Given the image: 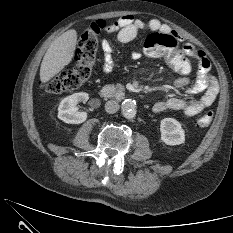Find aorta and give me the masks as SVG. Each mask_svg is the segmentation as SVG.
I'll list each match as a JSON object with an SVG mask.
<instances>
[{"label":"aorta","instance_id":"1","mask_svg":"<svg viewBox=\"0 0 233 233\" xmlns=\"http://www.w3.org/2000/svg\"><path fill=\"white\" fill-rule=\"evenodd\" d=\"M136 101L133 99H125L121 104L123 116L132 119L136 116Z\"/></svg>","mask_w":233,"mask_h":233}]
</instances>
